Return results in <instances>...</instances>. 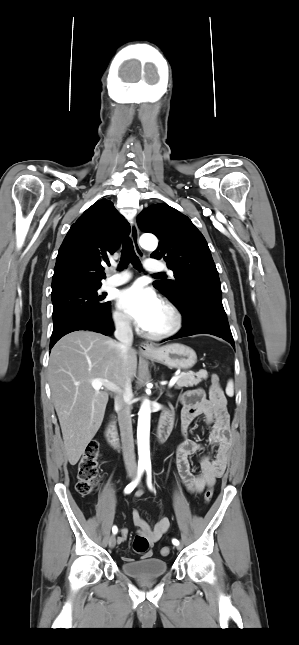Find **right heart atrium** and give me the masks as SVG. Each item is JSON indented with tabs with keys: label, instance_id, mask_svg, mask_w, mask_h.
Listing matches in <instances>:
<instances>
[{
	"label": "right heart atrium",
	"instance_id": "right-heart-atrium-1",
	"mask_svg": "<svg viewBox=\"0 0 299 645\" xmlns=\"http://www.w3.org/2000/svg\"><path fill=\"white\" fill-rule=\"evenodd\" d=\"M111 317L114 325L118 329L127 330L131 327V320L124 312L115 309Z\"/></svg>",
	"mask_w": 299,
	"mask_h": 645
}]
</instances>
